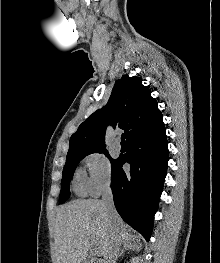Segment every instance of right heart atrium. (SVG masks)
<instances>
[{
  "label": "right heart atrium",
  "mask_w": 220,
  "mask_h": 263,
  "mask_svg": "<svg viewBox=\"0 0 220 263\" xmlns=\"http://www.w3.org/2000/svg\"><path fill=\"white\" fill-rule=\"evenodd\" d=\"M83 163L87 171L88 191L92 195H99L112 182L110 161L103 153L93 152L84 157Z\"/></svg>",
  "instance_id": "d8ad5b80"
}]
</instances>
